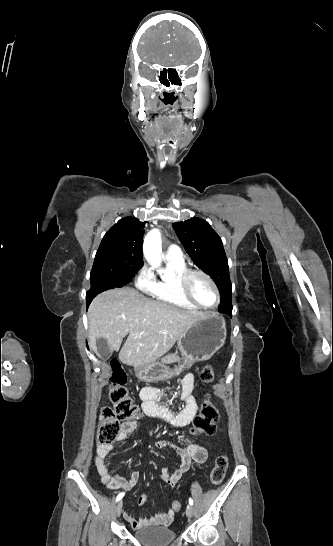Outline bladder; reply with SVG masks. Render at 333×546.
I'll use <instances>...</instances> for the list:
<instances>
[{
  "label": "bladder",
  "mask_w": 333,
  "mask_h": 546,
  "mask_svg": "<svg viewBox=\"0 0 333 546\" xmlns=\"http://www.w3.org/2000/svg\"><path fill=\"white\" fill-rule=\"evenodd\" d=\"M134 537L144 546H168L175 540L176 533L169 527L149 526L136 530Z\"/></svg>",
  "instance_id": "31cf9c89"
}]
</instances>
